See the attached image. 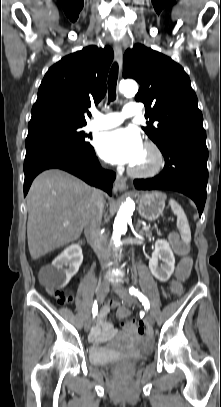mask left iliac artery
Segmentation results:
<instances>
[{
    "label": "left iliac artery",
    "mask_w": 221,
    "mask_h": 407,
    "mask_svg": "<svg viewBox=\"0 0 221 407\" xmlns=\"http://www.w3.org/2000/svg\"><path fill=\"white\" fill-rule=\"evenodd\" d=\"M128 290L131 295H134L142 302V304L144 305V307L146 309L149 308L150 305H149L148 299L138 289H136L134 287H129Z\"/></svg>",
    "instance_id": "1"
}]
</instances>
